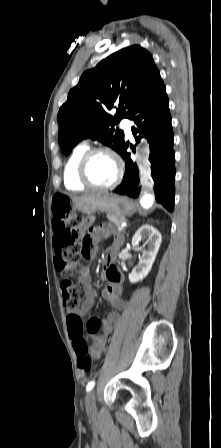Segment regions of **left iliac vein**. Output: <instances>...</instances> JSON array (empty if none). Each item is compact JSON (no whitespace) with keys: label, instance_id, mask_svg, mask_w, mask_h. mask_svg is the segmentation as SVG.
I'll list each match as a JSON object with an SVG mask.
<instances>
[{"label":"left iliac vein","instance_id":"obj_1","mask_svg":"<svg viewBox=\"0 0 221 448\" xmlns=\"http://www.w3.org/2000/svg\"><path fill=\"white\" fill-rule=\"evenodd\" d=\"M85 403L87 411L92 412L96 410V397L94 391H90L87 394Z\"/></svg>","mask_w":221,"mask_h":448}]
</instances>
